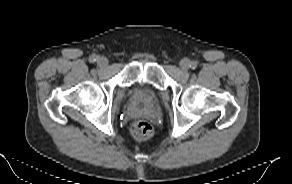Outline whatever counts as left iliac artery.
I'll use <instances>...</instances> for the list:
<instances>
[{
    "label": "left iliac artery",
    "instance_id": "44dca946",
    "mask_svg": "<svg viewBox=\"0 0 292 184\" xmlns=\"http://www.w3.org/2000/svg\"><path fill=\"white\" fill-rule=\"evenodd\" d=\"M190 67H191L192 69H195V68L197 67V62L192 61V62L190 63Z\"/></svg>",
    "mask_w": 292,
    "mask_h": 184
}]
</instances>
